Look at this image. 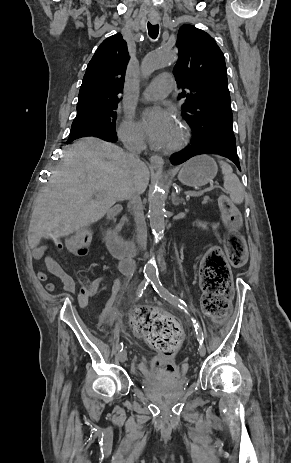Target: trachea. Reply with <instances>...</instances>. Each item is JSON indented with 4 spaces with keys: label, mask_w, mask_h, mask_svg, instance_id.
Listing matches in <instances>:
<instances>
[{
    "label": "trachea",
    "mask_w": 291,
    "mask_h": 463,
    "mask_svg": "<svg viewBox=\"0 0 291 463\" xmlns=\"http://www.w3.org/2000/svg\"><path fill=\"white\" fill-rule=\"evenodd\" d=\"M148 33L152 39H156L159 33V25L148 23Z\"/></svg>",
    "instance_id": "1"
}]
</instances>
